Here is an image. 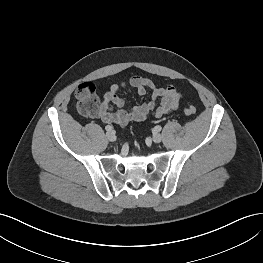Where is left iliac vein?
I'll return each instance as SVG.
<instances>
[{"instance_id": "left-iliac-vein-1", "label": "left iliac vein", "mask_w": 263, "mask_h": 263, "mask_svg": "<svg viewBox=\"0 0 263 263\" xmlns=\"http://www.w3.org/2000/svg\"><path fill=\"white\" fill-rule=\"evenodd\" d=\"M152 139L155 143H160L162 141V136L159 133H154Z\"/></svg>"}]
</instances>
